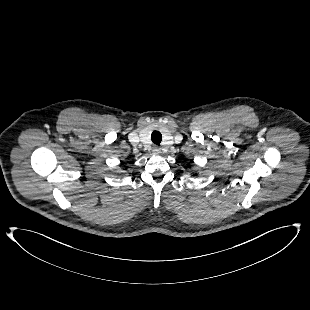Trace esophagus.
Here are the masks:
<instances>
[{"mask_svg":"<svg viewBox=\"0 0 310 310\" xmlns=\"http://www.w3.org/2000/svg\"><path fill=\"white\" fill-rule=\"evenodd\" d=\"M161 150L159 147L155 146L153 149H152V153L155 154V155H158L160 154Z\"/></svg>","mask_w":310,"mask_h":310,"instance_id":"1","label":"esophagus"}]
</instances>
